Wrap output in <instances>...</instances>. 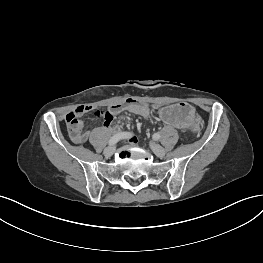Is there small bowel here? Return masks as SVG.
<instances>
[{
    "instance_id": "1",
    "label": "small bowel",
    "mask_w": 263,
    "mask_h": 263,
    "mask_svg": "<svg viewBox=\"0 0 263 263\" xmlns=\"http://www.w3.org/2000/svg\"><path fill=\"white\" fill-rule=\"evenodd\" d=\"M94 109V107L90 105L80 106L78 107L74 113L77 116H82L85 113L91 112ZM112 111V118L110 120H104V127L111 129V123L114 115L119 114L123 110H127L128 112L141 116V117H147L150 114V109L138 102H128V103H121L113 105L109 108Z\"/></svg>"
}]
</instances>
